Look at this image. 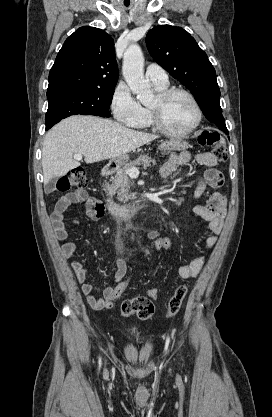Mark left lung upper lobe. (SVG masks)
<instances>
[{
  "mask_svg": "<svg viewBox=\"0 0 272 417\" xmlns=\"http://www.w3.org/2000/svg\"><path fill=\"white\" fill-rule=\"evenodd\" d=\"M146 45L153 59L192 92L205 117L228 134L215 69L195 39L180 27L159 25L148 32Z\"/></svg>",
  "mask_w": 272,
  "mask_h": 417,
  "instance_id": "1",
  "label": "left lung upper lobe"
}]
</instances>
